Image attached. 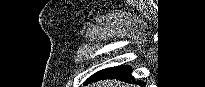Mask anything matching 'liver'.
Wrapping results in <instances>:
<instances>
[{
	"label": "liver",
	"instance_id": "obj_1",
	"mask_svg": "<svg viewBox=\"0 0 205 87\" xmlns=\"http://www.w3.org/2000/svg\"><path fill=\"white\" fill-rule=\"evenodd\" d=\"M89 87H133V86L130 85V84H124L120 81L106 80V81H100V82H97V83H93Z\"/></svg>",
	"mask_w": 205,
	"mask_h": 87
}]
</instances>
